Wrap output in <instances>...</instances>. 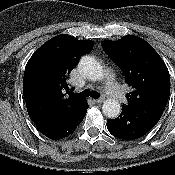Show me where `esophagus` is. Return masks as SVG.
I'll use <instances>...</instances> for the list:
<instances>
[{"instance_id":"obj_1","label":"esophagus","mask_w":175,"mask_h":175,"mask_svg":"<svg viewBox=\"0 0 175 175\" xmlns=\"http://www.w3.org/2000/svg\"><path fill=\"white\" fill-rule=\"evenodd\" d=\"M105 99V95L104 94H100V97L98 99H95L94 102L96 103H100Z\"/></svg>"}]
</instances>
